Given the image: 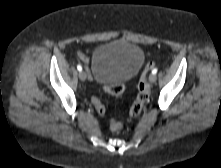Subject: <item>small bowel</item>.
I'll list each match as a JSON object with an SVG mask.
<instances>
[{"label":"small bowel","instance_id":"obj_1","mask_svg":"<svg viewBox=\"0 0 221 168\" xmlns=\"http://www.w3.org/2000/svg\"><path fill=\"white\" fill-rule=\"evenodd\" d=\"M81 59H82L84 62L87 61L86 58H85L83 55H81Z\"/></svg>","mask_w":221,"mask_h":168}]
</instances>
